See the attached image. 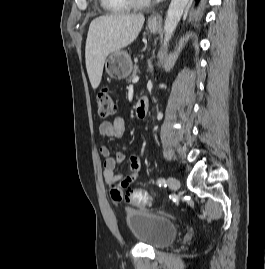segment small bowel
Masks as SVG:
<instances>
[{
  "label": "small bowel",
  "mask_w": 265,
  "mask_h": 269,
  "mask_svg": "<svg viewBox=\"0 0 265 269\" xmlns=\"http://www.w3.org/2000/svg\"><path fill=\"white\" fill-rule=\"evenodd\" d=\"M126 130L124 119L117 117L113 121H104L99 126V132L105 137H122ZM100 154L104 157V179L110 187H126L135 182L140 172V159L137 155H132L129 159V172L126 176H122L118 172L120 163L124 160V154L116 152L112 154L109 147L102 145L99 148ZM112 196V195H111ZM115 202H119L121 198L113 197Z\"/></svg>",
  "instance_id": "small-bowel-1"
}]
</instances>
